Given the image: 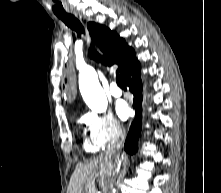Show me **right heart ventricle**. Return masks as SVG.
<instances>
[{
	"instance_id": "1",
	"label": "right heart ventricle",
	"mask_w": 221,
	"mask_h": 193,
	"mask_svg": "<svg viewBox=\"0 0 221 193\" xmlns=\"http://www.w3.org/2000/svg\"><path fill=\"white\" fill-rule=\"evenodd\" d=\"M84 148L87 152L95 153L99 151L102 147H100L97 143H95L92 139L85 140Z\"/></svg>"
}]
</instances>
